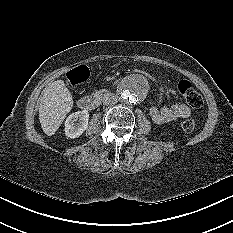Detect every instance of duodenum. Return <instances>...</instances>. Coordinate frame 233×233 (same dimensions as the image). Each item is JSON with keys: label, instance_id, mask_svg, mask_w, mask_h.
I'll return each instance as SVG.
<instances>
[{"label": "duodenum", "instance_id": "obj_1", "mask_svg": "<svg viewBox=\"0 0 233 233\" xmlns=\"http://www.w3.org/2000/svg\"><path fill=\"white\" fill-rule=\"evenodd\" d=\"M110 96V92L102 90L91 95L82 96L78 100V106L82 110H93L98 107L101 102Z\"/></svg>", "mask_w": 233, "mask_h": 233}]
</instances>
